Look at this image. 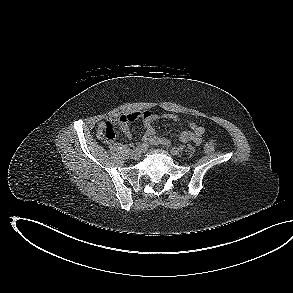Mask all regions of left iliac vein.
Masks as SVG:
<instances>
[{
  "mask_svg": "<svg viewBox=\"0 0 293 293\" xmlns=\"http://www.w3.org/2000/svg\"><path fill=\"white\" fill-rule=\"evenodd\" d=\"M170 152L172 155H175V156H179L181 154L179 148L177 147H172Z\"/></svg>",
  "mask_w": 293,
  "mask_h": 293,
  "instance_id": "4c4485c4",
  "label": "left iliac vein"
}]
</instances>
